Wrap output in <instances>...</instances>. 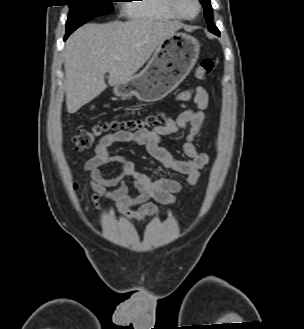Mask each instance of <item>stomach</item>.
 <instances>
[{"instance_id":"obj_1","label":"stomach","mask_w":304,"mask_h":329,"mask_svg":"<svg viewBox=\"0 0 304 329\" xmlns=\"http://www.w3.org/2000/svg\"><path fill=\"white\" fill-rule=\"evenodd\" d=\"M200 52V44L191 35L174 33L157 47L146 67L130 80L114 86V94L135 96L146 103L156 102L171 93L190 73Z\"/></svg>"}]
</instances>
